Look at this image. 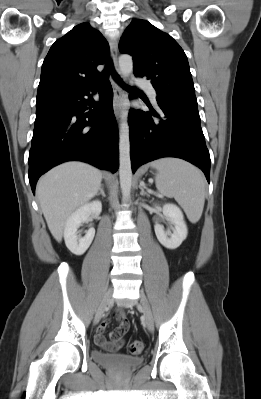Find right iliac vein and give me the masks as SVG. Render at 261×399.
<instances>
[{
	"label": "right iliac vein",
	"instance_id": "obj_1",
	"mask_svg": "<svg viewBox=\"0 0 261 399\" xmlns=\"http://www.w3.org/2000/svg\"><path fill=\"white\" fill-rule=\"evenodd\" d=\"M112 289H109L106 294L104 295L98 309L97 312L95 314V318H94V323L97 324L99 322V320L101 319V317L103 316L106 308L110 305L111 300H112Z\"/></svg>",
	"mask_w": 261,
	"mask_h": 399
}]
</instances>
